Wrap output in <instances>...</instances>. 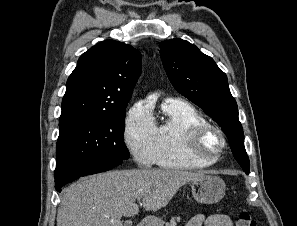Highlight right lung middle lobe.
<instances>
[{"mask_svg":"<svg viewBox=\"0 0 297 226\" xmlns=\"http://www.w3.org/2000/svg\"><path fill=\"white\" fill-rule=\"evenodd\" d=\"M124 119L125 111L116 116L80 115L60 120L56 168L82 160L128 159Z\"/></svg>","mask_w":297,"mask_h":226,"instance_id":"1","label":"right lung middle lobe"}]
</instances>
